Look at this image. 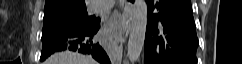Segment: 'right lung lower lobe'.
Listing matches in <instances>:
<instances>
[{
    "mask_svg": "<svg viewBox=\"0 0 242 64\" xmlns=\"http://www.w3.org/2000/svg\"><path fill=\"white\" fill-rule=\"evenodd\" d=\"M99 28L100 26L98 24L90 30L74 33L51 41L44 49H42L40 60L44 61L56 51L70 50L92 55V57L101 64H111L106 52L99 43H95L94 41V35Z\"/></svg>",
    "mask_w": 242,
    "mask_h": 64,
    "instance_id": "98d812e1",
    "label": "right lung lower lobe"
}]
</instances>
